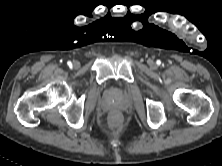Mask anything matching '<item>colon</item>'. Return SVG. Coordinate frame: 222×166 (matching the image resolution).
Segmentation results:
<instances>
[{
    "instance_id": "1",
    "label": "colon",
    "mask_w": 222,
    "mask_h": 166,
    "mask_svg": "<svg viewBox=\"0 0 222 166\" xmlns=\"http://www.w3.org/2000/svg\"><path fill=\"white\" fill-rule=\"evenodd\" d=\"M121 122V117L119 114L117 113H114L110 116V123L113 125V126H118Z\"/></svg>"
}]
</instances>
